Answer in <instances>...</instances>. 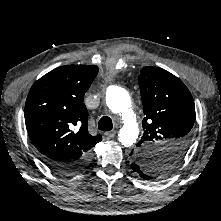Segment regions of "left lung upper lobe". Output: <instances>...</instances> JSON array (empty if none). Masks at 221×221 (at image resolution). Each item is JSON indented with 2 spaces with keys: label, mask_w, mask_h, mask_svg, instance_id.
I'll use <instances>...</instances> for the list:
<instances>
[{
  "label": "left lung upper lobe",
  "mask_w": 221,
  "mask_h": 221,
  "mask_svg": "<svg viewBox=\"0 0 221 221\" xmlns=\"http://www.w3.org/2000/svg\"><path fill=\"white\" fill-rule=\"evenodd\" d=\"M143 102L144 134L137 143L136 161L152 179L167 174L184 158L196 118L192 95L168 71L147 66L138 77Z\"/></svg>",
  "instance_id": "5c2ea615"
}]
</instances>
